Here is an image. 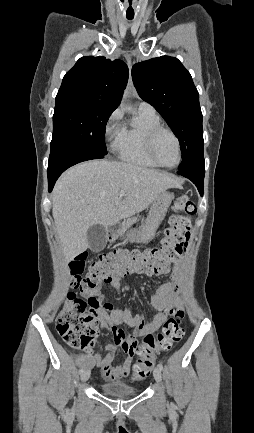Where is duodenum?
<instances>
[{"instance_id": "1", "label": "duodenum", "mask_w": 254, "mask_h": 433, "mask_svg": "<svg viewBox=\"0 0 254 433\" xmlns=\"http://www.w3.org/2000/svg\"><path fill=\"white\" fill-rule=\"evenodd\" d=\"M119 228L120 227L117 223L110 225L107 229V237L113 238L115 234L119 231Z\"/></svg>"}]
</instances>
